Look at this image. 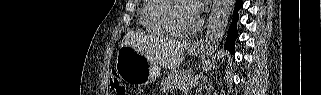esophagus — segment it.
Returning a JSON list of instances; mask_svg holds the SVG:
<instances>
[{
	"label": "esophagus",
	"instance_id": "obj_1",
	"mask_svg": "<svg viewBox=\"0 0 321 95\" xmlns=\"http://www.w3.org/2000/svg\"><path fill=\"white\" fill-rule=\"evenodd\" d=\"M198 45H199V43H196V42L192 44V46H194V47H197Z\"/></svg>",
	"mask_w": 321,
	"mask_h": 95
}]
</instances>
